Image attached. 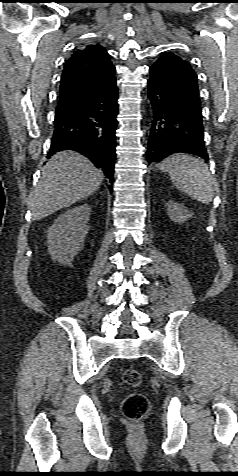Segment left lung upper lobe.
Instances as JSON below:
<instances>
[{"label": "left lung upper lobe", "instance_id": "5c2ea615", "mask_svg": "<svg viewBox=\"0 0 238 476\" xmlns=\"http://www.w3.org/2000/svg\"><path fill=\"white\" fill-rule=\"evenodd\" d=\"M151 67L161 71L181 89L199 96L197 75L189 62L172 53H164Z\"/></svg>", "mask_w": 238, "mask_h": 476}]
</instances>
